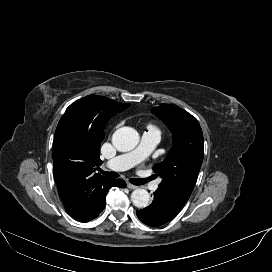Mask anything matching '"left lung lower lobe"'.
Wrapping results in <instances>:
<instances>
[{
  "label": "left lung lower lobe",
  "mask_w": 272,
  "mask_h": 272,
  "mask_svg": "<svg viewBox=\"0 0 272 272\" xmlns=\"http://www.w3.org/2000/svg\"><path fill=\"white\" fill-rule=\"evenodd\" d=\"M182 208L183 206L156 190L152 204L136 213L144 224L160 226L172 220Z\"/></svg>",
  "instance_id": "obj_1"
}]
</instances>
